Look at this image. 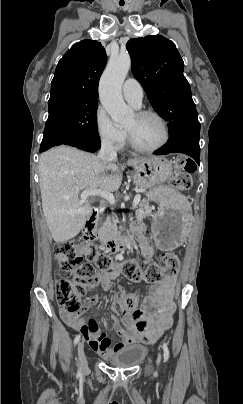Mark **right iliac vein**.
I'll return each mask as SVG.
<instances>
[{"instance_id":"1","label":"right iliac vein","mask_w":243,"mask_h":404,"mask_svg":"<svg viewBox=\"0 0 243 404\" xmlns=\"http://www.w3.org/2000/svg\"><path fill=\"white\" fill-rule=\"evenodd\" d=\"M78 350V358L80 362V367L83 371H86L88 369V363L86 359V355L84 352V344L83 342H80L77 347Z\"/></svg>"}]
</instances>
